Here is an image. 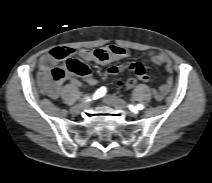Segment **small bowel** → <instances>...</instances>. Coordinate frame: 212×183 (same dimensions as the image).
<instances>
[{
  "label": "small bowel",
  "mask_w": 212,
  "mask_h": 183,
  "mask_svg": "<svg viewBox=\"0 0 212 183\" xmlns=\"http://www.w3.org/2000/svg\"><path fill=\"white\" fill-rule=\"evenodd\" d=\"M66 50L69 53V55L74 53L73 49L67 48ZM78 55L80 56V58L88 62H94L98 64H109L111 62L127 58L129 56V52L120 46L110 45L93 50L83 49L78 52ZM150 58L154 64L165 65L166 70L169 73L172 72L173 70L172 63L169 56L166 53L164 52L152 53L150 55ZM57 61L58 60L52 55V51L50 53L43 55L39 61L38 76L40 85L43 93L48 97H50L51 99H57L59 97L62 84V81L56 83L50 79V72L52 68L55 67ZM127 70L134 71L136 76L142 81L147 82L151 78L141 63H125L121 65L110 66L104 71L103 76L108 77ZM82 77L84 78V81L88 85L93 86L96 84V79L92 76L91 71L89 69L88 74ZM65 79L70 80L71 84L74 86L79 85V80L76 77H74L73 74H67ZM172 82H173L172 76H169L166 79L165 83L161 85L157 90H155L154 96L158 101H161L169 93L172 86Z\"/></svg>",
  "instance_id": "1"
}]
</instances>
